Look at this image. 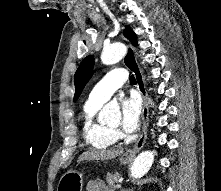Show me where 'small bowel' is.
<instances>
[{
	"mask_svg": "<svg viewBox=\"0 0 221 191\" xmlns=\"http://www.w3.org/2000/svg\"><path fill=\"white\" fill-rule=\"evenodd\" d=\"M87 191H112L106 184L99 179H91L87 182L86 186Z\"/></svg>",
	"mask_w": 221,
	"mask_h": 191,
	"instance_id": "1",
	"label": "small bowel"
}]
</instances>
